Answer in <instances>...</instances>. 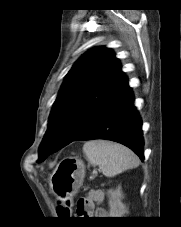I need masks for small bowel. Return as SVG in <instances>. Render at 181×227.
I'll list each match as a JSON object with an SVG mask.
<instances>
[{"label": "small bowel", "instance_id": "1", "mask_svg": "<svg viewBox=\"0 0 181 227\" xmlns=\"http://www.w3.org/2000/svg\"><path fill=\"white\" fill-rule=\"evenodd\" d=\"M103 200V191L90 190L85 197L79 199L76 214L96 218L107 216V211L104 208L97 207V205L101 204Z\"/></svg>", "mask_w": 181, "mask_h": 227}]
</instances>
